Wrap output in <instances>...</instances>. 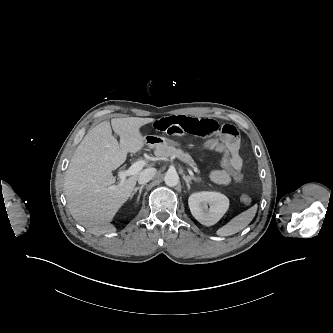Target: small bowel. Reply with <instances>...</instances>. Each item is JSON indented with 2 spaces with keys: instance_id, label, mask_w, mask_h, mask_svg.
<instances>
[{
  "instance_id": "small-bowel-1",
  "label": "small bowel",
  "mask_w": 333,
  "mask_h": 333,
  "mask_svg": "<svg viewBox=\"0 0 333 333\" xmlns=\"http://www.w3.org/2000/svg\"><path fill=\"white\" fill-rule=\"evenodd\" d=\"M152 127L158 132L175 137L183 135L209 137L228 150L237 169L241 170L243 167V160L239 154V134L232 125L220 124L213 119L172 115L155 120ZM210 178L220 185H228L232 180L231 175L224 169L212 171Z\"/></svg>"
}]
</instances>
